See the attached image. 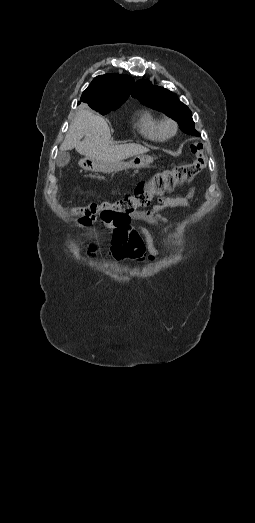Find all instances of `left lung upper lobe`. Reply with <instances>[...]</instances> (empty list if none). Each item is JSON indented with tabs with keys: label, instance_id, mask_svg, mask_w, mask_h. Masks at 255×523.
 I'll return each instance as SVG.
<instances>
[{
	"label": "left lung upper lobe",
	"instance_id": "left-lung-upper-lobe-1",
	"mask_svg": "<svg viewBox=\"0 0 255 523\" xmlns=\"http://www.w3.org/2000/svg\"><path fill=\"white\" fill-rule=\"evenodd\" d=\"M132 96L140 100V103L172 117L178 122L183 132L189 135H199L194 129L191 111L171 91L153 86L150 81L141 79L136 82Z\"/></svg>",
	"mask_w": 255,
	"mask_h": 523
}]
</instances>
